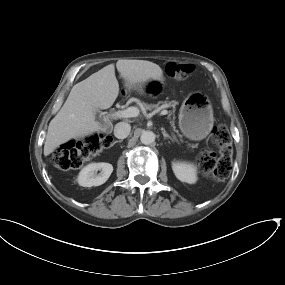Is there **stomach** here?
<instances>
[{
	"instance_id": "stomach-1",
	"label": "stomach",
	"mask_w": 285,
	"mask_h": 285,
	"mask_svg": "<svg viewBox=\"0 0 285 285\" xmlns=\"http://www.w3.org/2000/svg\"><path fill=\"white\" fill-rule=\"evenodd\" d=\"M213 122L212 107L205 97L192 94L185 98L179 113V128L184 136L202 140L211 132Z\"/></svg>"
}]
</instances>
